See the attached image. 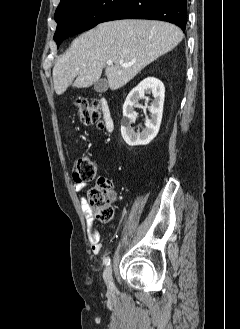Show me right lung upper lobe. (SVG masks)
<instances>
[{"label":"right lung upper lobe","mask_w":240,"mask_h":329,"mask_svg":"<svg viewBox=\"0 0 240 329\" xmlns=\"http://www.w3.org/2000/svg\"><path fill=\"white\" fill-rule=\"evenodd\" d=\"M69 1H71V0H61L59 6L57 7V9L60 8V7H62L63 5H65L66 3H68Z\"/></svg>","instance_id":"obj_1"}]
</instances>
